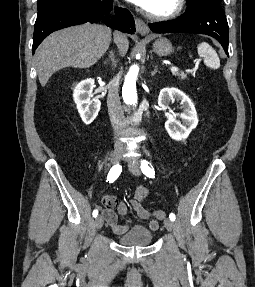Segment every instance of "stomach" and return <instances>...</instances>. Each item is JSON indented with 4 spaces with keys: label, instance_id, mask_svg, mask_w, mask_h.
<instances>
[{
    "label": "stomach",
    "instance_id": "0dacf381",
    "mask_svg": "<svg viewBox=\"0 0 255 287\" xmlns=\"http://www.w3.org/2000/svg\"><path fill=\"white\" fill-rule=\"evenodd\" d=\"M148 38H153V36H148ZM153 50L158 56H169L173 50V46L167 38H157L153 44Z\"/></svg>",
    "mask_w": 255,
    "mask_h": 287
}]
</instances>
